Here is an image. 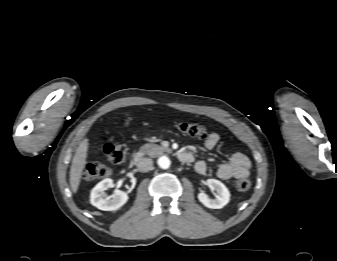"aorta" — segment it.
Returning a JSON list of instances; mask_svg holds the SVG:
<instances>
[{"label": "aorta", "mask_w": 337, "mask_h": 261, "mask_svg": "<svg viewBox=\"0 0 337 261\" xmlns=\"http://www.w3.org/2000/svg\"><path fill=\"white\" fill-rule=\"evenodd\" d=\"M158 165L160 168L162 169H167L170 167V159L167 156H161L158 161H157Z\"/></svg>", "instance_id": "obj_1"}]
</instances>
